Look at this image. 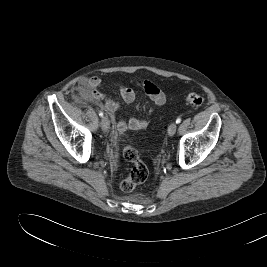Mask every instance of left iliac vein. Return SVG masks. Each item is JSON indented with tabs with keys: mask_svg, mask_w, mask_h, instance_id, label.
<instances>
[{
	"mask_svg": "<svg viewBox=\"0 0 267 267\" xmlns=\"http://www.w3.org/2000/svg\"><path fill=\"white\" fill-rule=\"evenodd\" d=\"M177 125L176 123H171L168 127V134L169 136H173L176 133Z\"/></svg>",
	"mask_w": 267,
	"mask_h": 267,
	"instance_id": "1",
	"label": "left iliac vein"
}]
</instances>
